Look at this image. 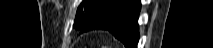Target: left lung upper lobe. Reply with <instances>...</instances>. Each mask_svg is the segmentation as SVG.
<instances>
[{
    "label": "left lung upper lobe",
    "instance_id": "1",
    "mask_svg": "<svg viewBox=\"0 0 213 48\" xmlns=\"http://www.w3.org/2000/svg\"><path fill=\"white\" fill-rule=\"evenodd\" d=\"M113 1L114 0H83L77 9L74 27L83 30L99 10L110 5Z\"/></svg>",
    "mask_w": 213,
    "mask_h": 48
}]
</instances>
